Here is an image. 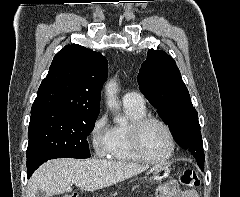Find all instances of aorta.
Segmentation results:
<instances>
[{"label": "aorta", "instance_id": "1", "mask_svg": "<svg viewBox=\"0 0 240 197\" xmlns=\"http://www.w3.org/2000/svg\"><path fill=\"white\" fill-rule=\"evenodd\" d=\"M106 95H107V105L110 109L118 110L119 104L117 101V92H118V85L115 80H110L106 87ZM125 121L123 117H117L115 122L122 124Z\"/></svg>", "mask_w": 240, "mask_h": 197}]
</instances>
